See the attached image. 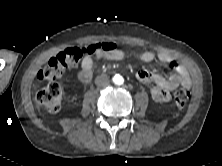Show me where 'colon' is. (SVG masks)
Masks as SVG:
<instances>
[{
    "label": "colon",
    "mask_w": 222,
    "mask_h": 166,
    "mask_svg": "<svg viewBox=\"0 0 222 166\" xmlns=\"http://www.w3.org/2000/svg\"><path fill=\"white\" fill-rule=\"evenodd\" d=\"M116 48L113 43H101L88 47H71L52 57L38 72V78L49 84L38 91L36 101L47 111L54 113L60 110L63 97L62 73L65 69L76 66L86 56H96L100 52H107ZM189 93L185 89H178L174 94V101L178 107L186 105Z\"/></svg>",
    "instance_id": "5ec220e1"
}]
</instances>
